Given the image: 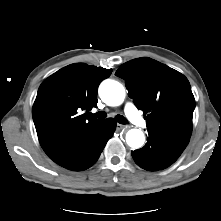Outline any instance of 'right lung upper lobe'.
Segmentation results:
<instances>
[{"mask_svg": "<svg viewBox=\"0 0 221 221\" xmlns=\"http://www.w3.org/2000/svg\"><path fill=\"white\" fill-rule=\"evenodd\" d=\"M111 73L112 69L75 63L40 85L32 116L39 142L50 158L102 121L83 111L97 105L98 86Z\"/></svg>", "mask_w": 221, "mask_h": 221, "instance_id": "1", "label": "right lung upper lobe"}]
</instances>
